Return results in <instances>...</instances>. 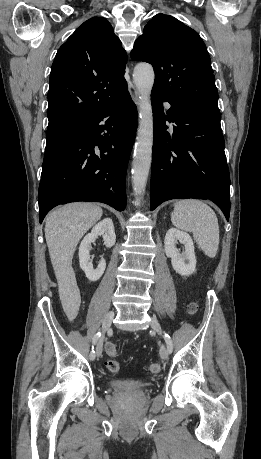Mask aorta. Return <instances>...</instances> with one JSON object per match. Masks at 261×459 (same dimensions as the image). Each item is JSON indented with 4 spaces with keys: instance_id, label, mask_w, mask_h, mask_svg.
Wrapping results in <instances>:
<instances>
[{
    "instance_id": "1",
    "label": "aorta",
    "mask_w": 261,
    "mask_h": 459,
    "mask_svg": "<svg viewBox=\"0 0 261 459\" xmlns=\"http://www.w3.org/2000/svg\"><path fill=\"white\" fill-rule=\"evenodd\" d=\"M154 79L151 65L139 63L135 66L133 80L139 94V128L132 161V187L138 195L145 191L152 161L153 113L150 96Z\"/></svg>"
}]
</instances>
